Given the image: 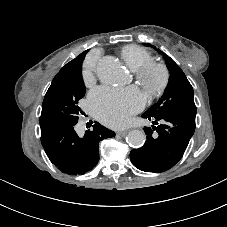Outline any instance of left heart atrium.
<instances>
[{
    "label": "left heart atrium",
    "instance_id": "obj_1",
    "mask_svg": "<svg viewBox=\"0 0 227 227\" xmlns=\"http://www.w3.org/2000/svg\"><path fill=\"white\" fill-rule=\"evenodd\" d=\"M87 103L98 120L116 128L144 107L145 97L129 89L99 87L90 93Z\"/></svg>",
    "mask_w": 227,
    "mask_h": 227
}]
</instances>
